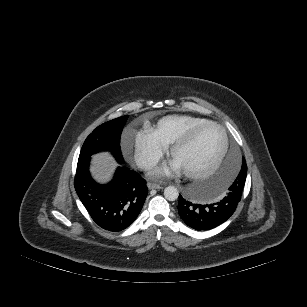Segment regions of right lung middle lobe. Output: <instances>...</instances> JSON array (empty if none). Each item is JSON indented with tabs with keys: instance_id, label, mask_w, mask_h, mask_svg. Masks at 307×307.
<instances>
[{
	"instance_id": "obj_1",
	"label": "right lung middle lobe",
	"mask_w": 307,
	"mask_h": 307,
	"mask_svg": "<svg viewBox=\"0 0 307 307\" xmlns=\"http://www.w3.org/2000/svg\"><path fill=\"white\" fill-rule=\"evenodd\" d=\"M128 115L108 121L96 129L86 138L80 151L79 159L90 158L100 151H111L117 160H121L120 138Z\"/></svg>"
}]
</instances>
